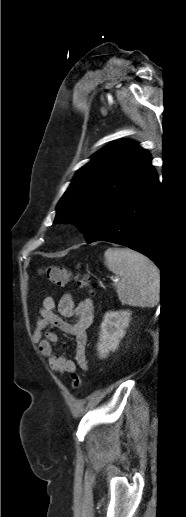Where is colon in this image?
I'll return each mask as SVG.
<instances>
[{
	"instance_id": "1",
	"label": "colon",
	"mask_w": 186,
	"mask_h": 517,
	"mask_svg": "<svg viewBox=\"0 0 186 517\" xmlns=\"http://www.w3.org/2000/svg\"><path fill=\"white\" fill-rule=\"evenodd\" d=\"M41 273L54 285L64 286L71 281H76L81 287L95 288L86 278L75 275L65 266H48L42 269ZM71 384L74 389H79L82 385V377L75 371L71 373Z\"/></svg>"
}]
</instances>
